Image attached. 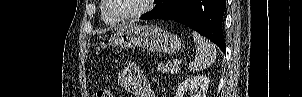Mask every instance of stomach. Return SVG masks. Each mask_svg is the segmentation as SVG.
Here are the masks:
<instances>
[{"mask_svg":"<svg viewBox=\"0 0 302 97\" xmlns=\"http://www.w3.org/2000/svg\"><path fill=\"white\" fill-rule=\"evenodd\" d=\"M181 40L176 35L155 25L129 23L122 26L109 40L108 44L99 43V48L107 46L140 47L149 52H162L169 55L181 49Z\"/></svg>","mask_w":302,"mask_h":97,"instance_id":"1","label":"stomach"}]
</instances>
